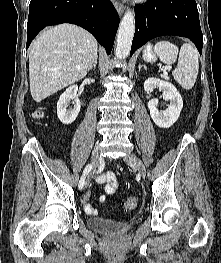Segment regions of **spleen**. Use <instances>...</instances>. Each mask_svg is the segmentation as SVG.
<instances>
[{
	"label": "spleen",
	"instance_id": "3e777b00",
	"mask_svg": "<svg viewBox=\"0 0 221 263\" xmlns=\"http://www.w3.org/2000/svg\"><path fill=\"white\" fill-rule=\"evenodd\" d=\"M154 51L165 64L175 63L178 58L177 67L172 72V75L184 89H192L199 70L197 49L193 45L185 43L179 51L178 47L173 43L160 41L156 43Z\"/></svg>",
	"mask_w": 221,
	"mask_h": 263
}]
</instances>
